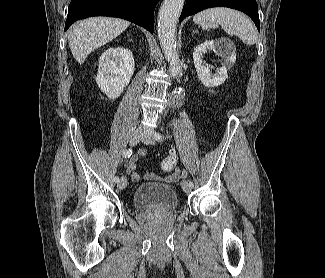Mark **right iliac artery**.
I'll list each match as a JSON object with an SVG mask.
<instances>
[{
  "mask_svg": "<svg viewBox=\"0 0 325 278\" xmlns=\"http://www.w3.org/2000/svg\"><path fill=\"white\" fill-rule=\"evenodd\" d=\"M131 155H132V149H126L122 154L123 158H129ZM114 181L118 183L119 182V177L116 176L114 178Z\"/></svg>",
  "mask_w": 325,
  "mask_h": 278,
  "instance_id": "right-iliac-artery-1",
  "label": "right iliac artery"
}]
</instances>
